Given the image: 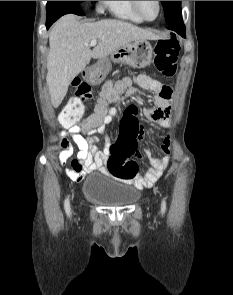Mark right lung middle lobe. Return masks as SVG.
I'll list each match as a JSON object with an SVG mask.
<instances>
[{
    "instance_id": "dd1d6c3e",
    "label": "right lung middle lobe",
    "mask_w": 233,
    "mask_h": 295,
    "mask_svg": "<svg viewBox=\"0 0 233 295\" xmlns=\"http://www.w3.org/2000/svg\"><path fill=\"white\" fill-rule=\"evenodd\" d=\"M82 2L83 1H48L46 9L47 11L56 10L69 4H81Z\"/></svg>"
}]
</instances>
